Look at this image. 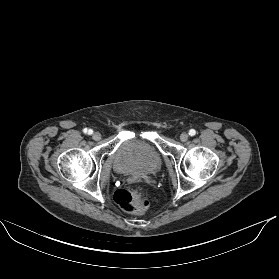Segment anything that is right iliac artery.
Listing matches in <instances>:
<instances>
[{
  "label": "right iliac artery",
  "mask_w": 279,
  "mask_h": 279,
  "mask_svg": "<svg viewBox=\"0 0 279 279\" xmlns=\"http://www.w3.org/2000/svg\"><path fill=\"white\" fill-rule=\"evenodd\" d=\"M83 132H84L85 134H92V133H93V131H92L91 129H87V128H85V129L83 130Z\"/></svg>",
  "instance_id": "right-iliac-artery-1"
}]
</instances>
